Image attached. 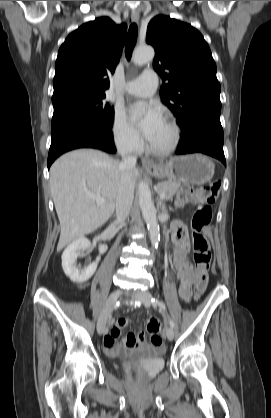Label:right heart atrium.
Returning a JSON list of instances; mask_svg holds the SVG:
<instances>
[{
  "mask_svg": "<svg viewBox=\"0 0 271 418\" xmlns=\"http://www.w3.org/2000/svg\"><path fill=\"white\" fill-rule=\"evenodd\" d=\"M111 132L116 147L125 153L137 152L142 144V139L138 131L130 125L121 110H115Z\"/></svg>",
  "mask_w": 271,
  "mask_h": 418,
  "instance_id": "1",
  "label": "right heart atrium"
}]
</instances>
